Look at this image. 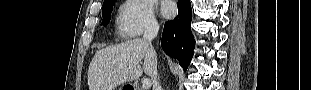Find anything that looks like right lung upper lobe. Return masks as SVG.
Instances as JSON below:
<instances>
[{
    "label": "right lung upper lobe",
    "instance_id": "right-lung-upper-lobe-1",
    "mask_svg": "<svg viewBox=\"0 0 311 90\" xmlns=\"http://www.w3.org/2000/svg\"><path fill=\"white\" fill-rule=\"evenodd\" d=\"M111 0H104V3L103 4H105V3H108V2H110Z\"/></svg>",
    "mask_w": 311,
    "mask_h": 90
}]
</instances>
